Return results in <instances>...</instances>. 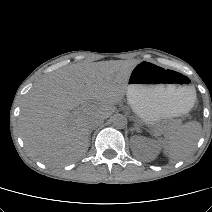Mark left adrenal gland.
I'll return each instance as SVG.
<instances>
[{"label": "left adrenal gland", "instance_id": "left-adrenal-gland-1", "mask_svg": "<svg viewBox=\"0 0 212 212\" xmlns=\"http://www.w3.org/2000/svg\"><path fill=\"white\" fill-rule=\"evenodd\" d=\"M132 130L138 131L139 130L138 125L136 124L135 127Z\"/></svg>", "mask_w": 212, "mask_h": 212}]
</instances>
